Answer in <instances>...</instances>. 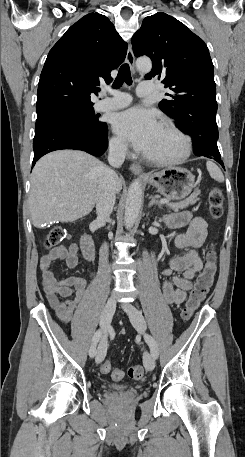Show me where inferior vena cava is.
Wrapping results in <instances>:
<instances>
[{"label": "inferior vena cava", "instance_id": "obj_1", "mask_svg": "<svg viewBox=\"0 0 245 457\" xmlns=\"http://www.w3.org/2000/svg\"><path fill=\"white\" fill-rule=\"evenodd\" d=\"M127 144L124 138H118L115 142L109 144L108 160L111 166H121L124 162ZM118 174L112 168H101L100 176L98 178V192H97V218L95 222L105 224L106 218L110 216L116 192V182Z\"/></svg>", "mask_w": 245, "mask_h": 457}]
</instances>
